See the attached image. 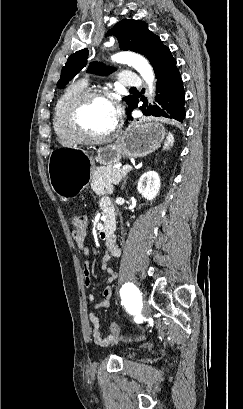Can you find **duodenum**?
I'll return each instance as SVG.
<instances>
[{"label": "duodenum", "mask_w": 243, "mask_h": 409, "mask_svg": "<svg viewBox=\"0 0 243 409\" xmlns=\"http://www.w3.org/2000/svg\"><path fill=\"white\" fill-rule=\"evenodd\" d=\"M105 220L103 224L99 227V237L101 239H110L114 235L116 227V219L114 211L110 209H105Z\"/></svg>", "instance_id": "duodenum-1"}]
</instances>
